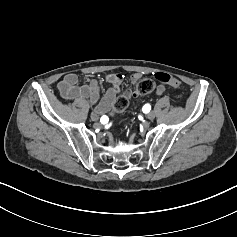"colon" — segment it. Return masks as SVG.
Listing matches in <instances>:
<instances>
[{"instance_id":"colon-1","label":"colon","mask_w":237,"mask_h":237,"mask_svg":"<svg viewBox=\"0 0 237 237\" xmlns=\"http://www.w3.org/2000/svg\"><path fill=\"white\" fill-rule=\"evenodd\" d=\"M160 84H168L171 86H178L179 82L173 76L166 73H157L155 75ZM155 88V82L152 79L144 78L137 82L135 92L138 95H146L151 93ZM128 106V97L123 95L117 98L113 105V114L118 115L122 113Z\"/></svg>"}]
</instances>
